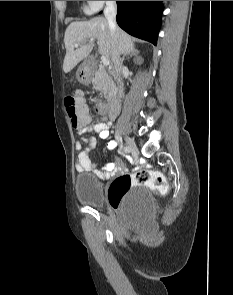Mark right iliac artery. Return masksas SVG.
I'll return each mask as SVG.
<instances>
[{
  "label": "right iliac artery",
  "mask_w": 233,
  "mask_h": 295,
  "mask_svg": "<svg viewBox=\"0 0 233 295\" xmlns=\"http://www.w3.org/2000/svg\"><path fill=\"white\" fill-rule=\"evenodd\" d=\"M124 153H128V147H123Z\"/></svg>",
  "instance_id": "82829eb1"
}]
</instances>
